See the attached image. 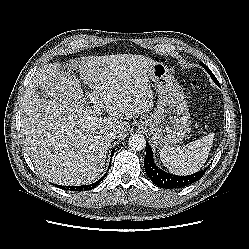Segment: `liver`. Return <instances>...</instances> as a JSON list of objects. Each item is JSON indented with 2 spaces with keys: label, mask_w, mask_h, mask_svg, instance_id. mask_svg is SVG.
I'll return each mask as SVG.
<instances>
[{
  "label": "liver",
  "mask_w": 249,
  "mask_h": 249,
  "mask_svg": "<svg viewBox=\"0 0 249 249\" xmlns=\"http://www.w3.org/2000/svg\"><path fill=\"white\" fill-rule=\"evenodd\" d=\"M154 63L143 55L117 54L56 62L39 69L21 102V132L40 175L69 186L97 179L113 141L107 133L116 129L117 137H124L129 130L127 120L152 109L150 66ZM72 69H78L110 116H99L91 109Z\"/></svg>",
  "instance_id": "liver-1"
}]
</instances>
